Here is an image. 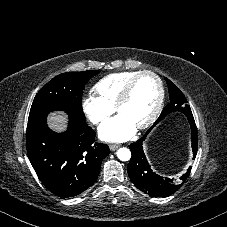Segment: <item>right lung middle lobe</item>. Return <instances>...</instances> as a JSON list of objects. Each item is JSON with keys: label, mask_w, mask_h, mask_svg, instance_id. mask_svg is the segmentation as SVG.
<instances>
[{"label": "right lung middle lobe", "mask_w": 227, "mask_h": 227, "mask_svg": "<svg viewBox=\"0 0 227 227\" xmlns=\"http://www.w3.org/2000/svg\"><path fill=\"white\" fill-rule=\"evenodd\" d=\"M100 71L63 73L49 81L35 96L28 125L47 117L51 111H65L69 117L86 120L82 110L85 84Z\"/></svg>", "instance_id": "right-lung-middle-lobe-1"}]
</instances>
